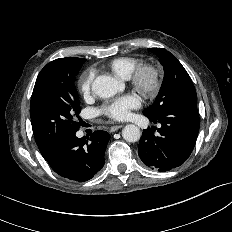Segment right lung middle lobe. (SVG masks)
Wrapping results in <instances>:
<instances>
[{
    "label": "right lung middle lobe",
    "instance_id": "right-lung-middle-lobe-1",
    "mask_svg": "<svg viewBox=\"0 0 232 232\" xmlns=\"http://www.w3.org/2000/svg\"><path fill=\"white\" fill-rule=\"evenodd\" d=\"M86 59L68 57L48 63L39 73L30 102L36 144L42 154H51L56 143L81 126V111L75 77Z\"/></svg>",
    "mask_w": 232,
    "mask_h": 232
}]
</instances>
